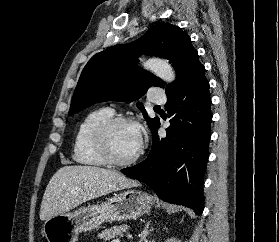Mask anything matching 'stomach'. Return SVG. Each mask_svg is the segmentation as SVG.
Here are the masks:
<instances>
[{
    "instance_id": "stomach-1",
    "label": "stomach",
    "mask_w": 279,
    "mask_h": 242,
    "mask_svg": "<svg viewBox=\"0 0 279 242\" xmlns=\"http://www.w3.org/2000/svg\"><path fill=\"white\" fill-rule=\"evenodd\" d=\"M152 204L153 198L147 193L128 189L102 204L50 217L44 222L42 232L48 242H76L80 233L97 229L104 222L137 219L147 213Z\"/></svg>"
}]
</instances>
